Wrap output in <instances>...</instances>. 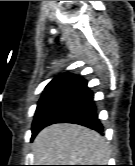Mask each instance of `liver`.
I'll return each mask as SVG.
<instances>
[{
    "mask_svg": "<svg viewBox=\"0 0 135 166\" xmlns=\"http://www.w3.org/2000/svg\"><path fill=\"white\" fill-rule=\"evenodd\" d=\"M37 165H105L109 148L96 131L76 124H54L41 130L32 144Z\"/></svg>",
    "mask_w": 135,
    "mask_h": 166,
    "instance_id": "6515ba94",
    "label": "liver"
}]
</instances>
